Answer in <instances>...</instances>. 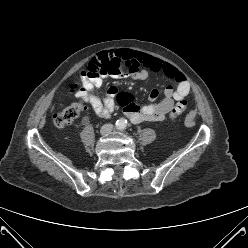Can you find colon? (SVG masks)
Wrapping results in <instances>:
<instances>
[{
	"instance_id": "5ec220e1",
	"label": "colon",
	"mask_w": 248,
	"mask_h": 248,
	"mask_svg": "<svg viewBox=\"0 0 248 248\" xmlns=\"http://www.w3.org/2000/svg\"><path fill=\"white\" fill-rule=\"evenodd\" d=\"M119 69V65L111 58H107L100 62H91L87 69L84 70V74L89 77H94L97 75H101L104 73H110ZM82 88V85L79 82H75L70 85V92L75 93L79 89ZM132 98L130 95L126 93H122L118 95L117 102L120 107L125 108L130 102ZM189 106V102L186 99L180 100L172 109L170 113V120L174 122L179 115H181L184 111L187 110ZM85 110V104L80 101L72 104L65 109L58 111L54 114V124L55 126L62 128L69 125L82 111Z\"/></svg>"
}]
</instances>
